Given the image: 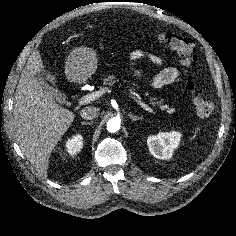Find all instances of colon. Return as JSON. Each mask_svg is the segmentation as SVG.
<instances>
[{
  "instance_id": "5ec220e1",
  "label": "colon",
  "mask_w": 236,
  "mask_h": 236,
  "mask_svg": "<svg viewBox=\"0 0 236 236\" xmlns=\"http://www.w3.org/2000/svg\"><path fill=\"white\" fill-rule=\"evenodd\" d=\"M147 34L159 44L175 51L181 57L182 65L185 68L190 69L196 62V47L191 39L175 33L148 31ZM186 89L191 95V100L197 115L201 118L210 117L213 113L214 106L198 93L195 81L188 80L186 82Z\"/></svg>"
}]
</instances>
